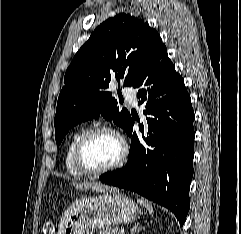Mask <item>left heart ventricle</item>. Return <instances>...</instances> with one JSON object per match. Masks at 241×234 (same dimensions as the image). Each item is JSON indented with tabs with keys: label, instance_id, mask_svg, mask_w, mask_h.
<instances>
[{
	"label": "left heart ventricle",
	"instance_id": "b2bd125f",
	"mask_svg": "<svg viewBox=\"0 0 241 234\" xmlns=\"http://www.w3.org/2000/svg\"><path fill=\"white\" fill-rule=\"evenodd\" d=\"M121 144L110 133H98L86 144L83 157L85 164L99 169L113 164L120 156Z\"/></svg>",
	"mask_w": 241,
	"mask_h": 234
}]
</instances>
